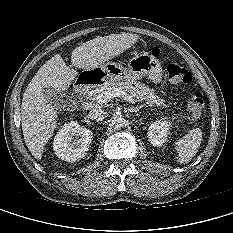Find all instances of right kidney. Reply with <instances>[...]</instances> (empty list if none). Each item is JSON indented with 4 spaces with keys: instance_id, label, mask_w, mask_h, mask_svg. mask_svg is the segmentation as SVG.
I'll list each match as a JSON object with an SVG mask.
<instances>
[{
    "instance_id": "ca27d5eb",
    "label": "right kidney",
    "mask_w": 233,
    "mask_h": 233,
    "mask_svg": "<svg viewBox=\"0 0 233 233\" xmlns=\"http://www.w3.org/2000/svg\"><path fill=\"white\" fill-rule=\"evenodd\" d=\"M73 136L79 139L73 141ZM92 131L80 127L78 122L71 121L58 131L54 138L53 149L55 154L62 160L75 162L83 158L90 146Z\"/></svg>"
}]
</instances>
